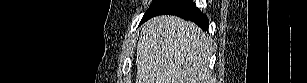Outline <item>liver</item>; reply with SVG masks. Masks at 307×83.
<instances>
[{
    "instance_id": "1",
    "label": "liver",
    "mask_w": 307,
    "mask_h": 83,
    "mask_svg": "<svg viewBox=\"0 0 307 83\" xmlns=\"http://www.w3.org/2000/svg\"><path fill=\"white\" fill-rule=\"evenodd\" d=\"M210 37L196 24L158 16L142 28L136 52V83H211Z\"/></svg>"
}]
</instances>
